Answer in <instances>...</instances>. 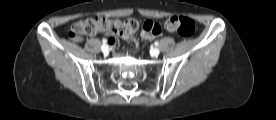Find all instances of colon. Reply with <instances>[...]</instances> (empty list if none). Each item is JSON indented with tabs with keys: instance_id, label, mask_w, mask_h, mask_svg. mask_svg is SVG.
<instances>
[{
	"instance_id": "5ec220e1",
	"label": "colon",
	"mask_w": 276,
	"mask_h": 120,
	"mask_svg": "<svg viewBox=\"0 0 276 120\" xmlns=\"http://www.w3.org/2000/svg\"><path fill=\"white\" fill-rule=\"evenodd\" d=\"M140 27L139 22L133 18H123L110 20L104 16H97L73 23L68 30L69 38L79 42L84 35H94L98 32L109 34H119L123 38L131 37ZM169 32H176L182 37H190L195 32V23L192 19L184 16H173L164 24ZM143 31L152 36L161 34L162 29L159 24L147 21L142 27Z\"/></svg>"
}]
</instances>
